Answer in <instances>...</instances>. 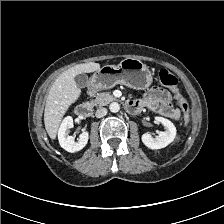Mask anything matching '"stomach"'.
I'll use <instances>...</instances> for the list:
<instances>
[{"instance_id": "0dacf381", "label": "stomach", "mask_w": 224, "mask_h": 224, "mask_svg": "<svg viewBox=\"0 0 224 224\" xmlns=\"http://www.w3.org/2000/svg\"><path fill=\"white\" fill-rule=\"evenodd\" d=\"M152 80L153 74L146 64L135 58H126L117 66L105 65L96 71L90 78V87L104 90L123 84L143 90L151 85Z\"/></svg>"}]
</instances>
